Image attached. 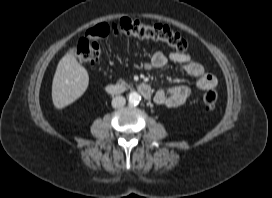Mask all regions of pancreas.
<instances>
[{
	"label": "pancreas",
	"instance_id": "pancreas-1",
	"mask_svg": "<svg viewBox=\"0 0 272 198\" xmlns=\"http://www.w3.org/2000/svg\"><path fill=\"white\" fill-rule=\"evenodd\" d=\"M118 84L127 85V83L124 80H122V79L118 80ZM129 86L131 87L132 85L130 84Z\"/></svg>",
	"mask_w": 272,
	"mask_h": 198
}]
</instances>
